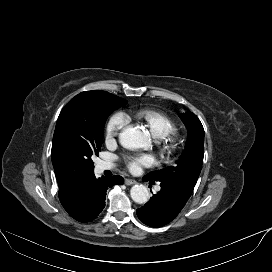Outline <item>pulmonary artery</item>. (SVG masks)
Here are the masks:
<instances>
[{"label": "pulmonary artery", "instance_id": "1", "mask_svg": "<svg viewBox=\"0 0 272 272\" xmlns=\"http://www.w3.org/2000/svg\"><path fill=\"white\" fill-rule=\"evenodd\" d=\"M111 167H112V166H111L110 163L104 162V161H102V162H100V163L98 164V169H99L100 171H104V170L110 169ZM156 189H157V190H160V186H157Z\"/></svg>", "mask_w": 272, "mask_h": 272}]
</instances>
